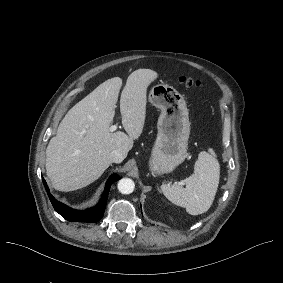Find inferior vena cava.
Segmentation results:
<instances>
[{"mask_svg":"<svg viewBox=\"0 0 283 283\" xmlns=\"http://www.w3.org/2000/svg\"><path fill=\"white\" fill-rule=\"evenodd\" d=\"M113 163H121L124 159L122 153L118 150H113L110 154Z\"/></svg>","mask_w":283,"mask_h":283,"instance_id":"inferior-vena-cava-1","label":"inferior vena cava"}]
</instances>
